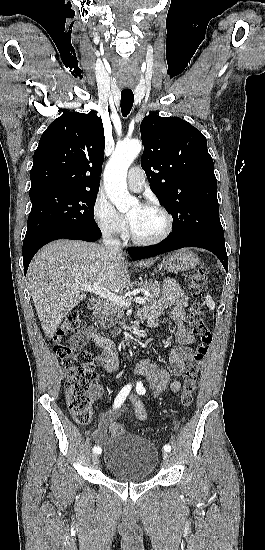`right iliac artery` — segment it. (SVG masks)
<instances>
[{"label":"right iliac artery","mask_w":265,"mask_h":550,"mask_svg":"<svg viewBox=\"0 0 265 550\" xmlns=\"http://www.w3.org/2000/svg\"><path fill=\"white\" fill-rule=\"evenodd\" d=\"M131 388H132L131 383L125 385V386L122 388V390L119 392V394L117 395V397H116L115 400H114L113 408H118V407H120V406L122 405V403L125 401L127 395L129 394ZM93 451H94L95 453L100 454V453H101V448H100L99 446H94V447H93Z\"/></svg>","instance_id":"obj_1"}]
</instances>
